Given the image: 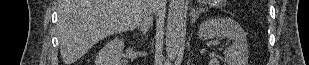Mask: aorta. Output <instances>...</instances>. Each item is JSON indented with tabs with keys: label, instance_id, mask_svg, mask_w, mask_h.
Here are the masks:
<instances>
[{
	"label": "aorta",
	"instance_id": "obj_1",
	"mask_svg": "<svg viewBox=\"0 0 309 65\" xmlns=\"http://www.w3.org/2000/svg\"><path fill=\"white\" fill-rule=\"evenodd\" d=\"M185 0H170L166 25V54L174 60L179 52L184 30Z\"/></svg>",
	"mask_w": 309,
	"mask_h": 65
}]
</instances>
